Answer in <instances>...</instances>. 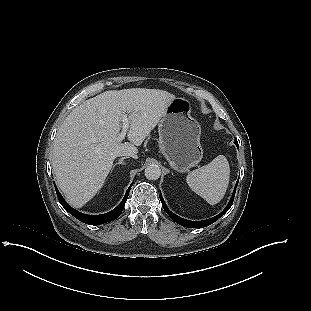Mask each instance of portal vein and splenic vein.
Returning <instances> with one entry per match:
<instances>
[{
  "label": "portal vein and splenic vein",
  "mask_w": 311,
  "mask_h": 311,
  "mask_svg": "<svg viewBox=\"0 0 311 311\" xmlns=\"http://www.w3.org/2000/svg\"><path fill=\"white\" fill-rule=\"evenodd\" d=\"M122 124H123V127H122V131L119 133L118 137H117V140L119 142H121L122 140L125 139V136H126V133L129 129V121H128V117H127V114H124L122 116Z\"/></svg>",
  "instance_id": "obj_1"
}]
</instances>
